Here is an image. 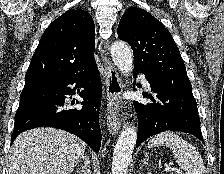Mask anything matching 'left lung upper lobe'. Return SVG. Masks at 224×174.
Here are the masks:
<instances>
[{
    "instance_id": "1",
    "label": "left lung upper lobe",
    "mask_w": 224,
    "mask_h": 174,
    "mask_svg": "<svg viewBox=\"0 0 224 174\" xmlns=\"http://www.w3.org/2000/svg\"><path fill=\"white\" fill-rule=\"evenodd\" d=\"M118 37L132 47L134 70L155 78L190 82L171 34L144 9L131 7L124 13Z\"/></svg>"
}]
</instances>
